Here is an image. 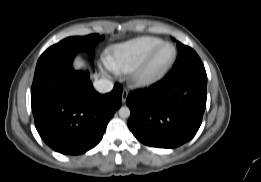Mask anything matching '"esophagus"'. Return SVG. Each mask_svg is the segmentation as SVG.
I'll use <instances>...</instances> for the list:
<instances>
[{
  "instance_id": "obj_1",
  "label": "esophagus",
  "mask_w": 261,
  "mask_h": 182,
  "mask_svg": "<svg viewBox=\"0 0 261 182\" xmlns=\"http://www.w3.org/2000/svg\"><path fill=\"white\" fill-rule=\"evenodd\" d=\"M128 90L127 89H123V92H122V97H121V100H122V103H125L126 102V99L128 97Z\"/></svg>"
}]
</instances>
